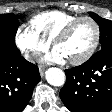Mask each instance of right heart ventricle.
<instances>
[{"instance_id":"e07e8e85","label":"right heart ventricle","mask_w":112,"mask_h":112,"mask_svg":"<svg viewBox=\"0 0 112 112\" xmlns=\"http://www.w3.org/2000/svg\"><path fill=\"white\" fill-rule=\"evenodd\" d=\"M78 16L59 10H52L35 15L30 21V28L43 40L50 43L54 36Z\"/></svg>"}]
</instances>
